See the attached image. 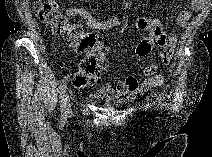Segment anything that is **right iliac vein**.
<instances>
[{
    "label": "right iliac vein",
    "mask_w": 212,
    "mask_h": 157,
    "mask_svg": "<svg viewBox=\"0 0 212 157\" xmlns=\"http://www.w3.org/2000/svg\"><path fill=\"white\" fill-rule=\"evenodd\" d=\"M64 101H65L64 113L69 114L71 112V102H70V98H69V95L67 94V92H65Z\"/></svg>",
    "instance_id": "right-iliac-vein-1"
}]
</instances>
